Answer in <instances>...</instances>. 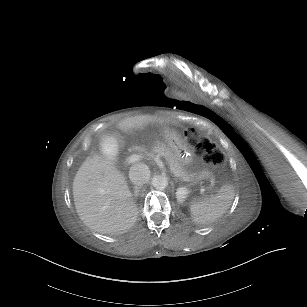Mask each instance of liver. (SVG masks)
Listing matches in <instances>:
<instances>
[{"instance_id":"obj_1","label":"liver","mask_w":307,"mask_h":307,"mask_svg":"<svg viewBox=\"0 0 307 307\" xmlns=\"http://www.w3.org/2000/svg\"><path fill=\"white\" fill-rule=\"evenodd\" d=\"M173 125L155 116L127 118L118 123L121 132L144 129L150 124ZM119 134V133H118ZM125 142L123 140V146ZM77 214L90 230L100 234H120L133 227L138 208L125 176L110 161L96 155L88 157L73 181Z\"/></svg>"}]
</instances>
